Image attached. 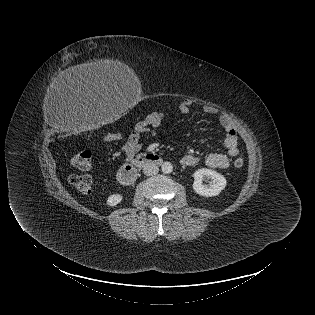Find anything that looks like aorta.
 I'll return each mask as SVG.
<instances>
[{
	"instance_id": "1",
	"label": "aorta",
	"mask_w": 315,
	"mask_h": 315,
	"mask_svg": "<svg viewBox=\"0 0 315 315\" xmlns=\"http://www.w3.org/2000/svg\"><path fill=\"white\" fill-rule=\"evenodd\" d=\"M161 170L165 174H169L173 171V165L171 162H164L161 166Z\"/></svg>"
}]
</instances>
